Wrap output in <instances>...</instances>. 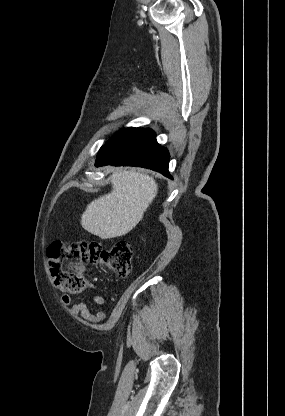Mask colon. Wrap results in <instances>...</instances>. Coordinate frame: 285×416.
Returning <instances> with one entry per match:
<instances>
[{
	"label": "colon",
	"mask_w": 285,
	"mask_h": 416,
	"mask_svg": "<svg viewBox=\"0 0 285 416\" xmlns=\"http://www.w3.org/2000/svg\"><path fill=\"white\" fill-rule=\"evenodd\" d=\"M132 254V246L127 241H117L108 248L95 242L55 241L48 248L54 284L66 293H79L85 289V262L97 264L121 278H127L132 269Z\"/></svg>",
	"instance_id": "5ec220e1"
}]
</instances>
